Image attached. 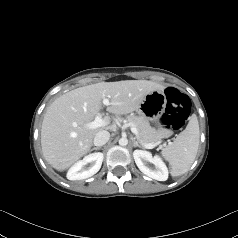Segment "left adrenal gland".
Wrapping results in <instances>:
<instances>
[{
  "label": "left adrenal gland",
  "instance_id": "obj_1",
  "mask_svg": "<svg viewBox=\"0 0 238 238\" xmlns=\"http://www.w3.org/2000/svg\"><path fill=\"white\" fill-rule=\"evenodd\" d=\"M133 146H134V147L142 148V146L136 141L135 138H133Z\"/></svg>",
  "mask_w": 238,
  "mask_h": 238
}]
</instances>
